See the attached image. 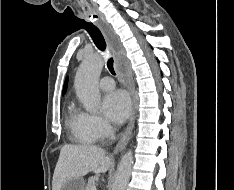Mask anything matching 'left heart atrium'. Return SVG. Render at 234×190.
Segmentation results:
<instances>
[{"label":"left heart atrium","instance_id":"1","mask_svg":"<svg viewBox=\"0 0 234 190\" xmlns=\"http://www.w3.org/2000/svg\"><path fill=\"white\" fill-rule=\"evenodd\" d=\"M105 115L116 123H123L131 110V99L123 90H116L108 93L103 100Z\"/></svg>","mask_w":234,"mask_h":190}]
</instances>
